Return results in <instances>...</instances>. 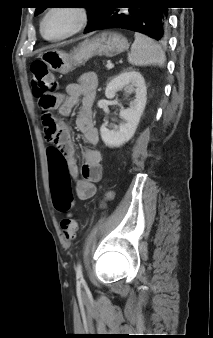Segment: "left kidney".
I'll return each mask as SVG.
<instances>
[{
    "instance_id": "5707ae66",
    "label": "left kidney",
    "mask_w": 213,
    "mask_h": 338,
    "mask_svg": "<svg viewBox=\"0 0 213 338\" xmlns=\"http://www.w3.org/2000/svg\"><path fill=\"white\" fill-rule=\"evenodd\" d=\"M134 87L135 99L130 103L129 108L120 110L123 122L112 129H109L107 125H102L100 128L101 138L109 147H119L133 137L146 106L147 90L142 75L133 70H124L115 76L106 87L105 96L108 99L113 98L119 90Z\"/></svg>"
}]
</instances>
